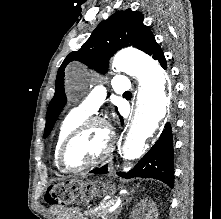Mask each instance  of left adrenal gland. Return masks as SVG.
<instances>
[{
	"mask_svg": "<svg viewBox=\"0 0 221 219\" xmlns=\"http://www.w3.org/2000/svg\"><path fill=\"white\" fill-rule=\"evenodd\" d=\"M121 210H122V205L118 208L117 214H119L121 212Z\"/></svg>",
	"mask_w": 221,
	"mask_h": 219,
	"instance_id": "obj_1",
	"label": "left adrenal gland"
}]
</instances>
